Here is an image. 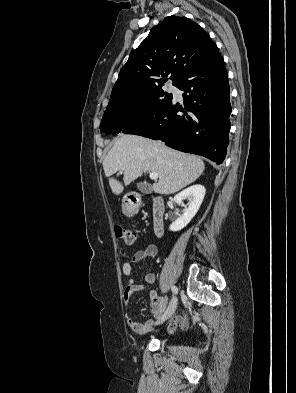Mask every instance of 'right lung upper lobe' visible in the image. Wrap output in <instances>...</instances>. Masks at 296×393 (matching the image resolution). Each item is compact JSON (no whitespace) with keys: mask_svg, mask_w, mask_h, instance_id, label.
Segmentation results:
<instances>
[{"mask_svg":"<svg viewBox=\"0 0 296 393\" xmlns=\"http://www.w3.org/2000/svg\"><path fill=\"white\" fill-rule=\"evenodd\" d=\"M211 46L215 43L197 23L175 15L165 18L130 53L110 101L128 99L164 84L168 76L176 84Z\"/></svg>","mask_w":296,"mask_h":393,"instance_id":"right-lung-upper-lobe-1","label":"right lung upper lobe"}]
</instances>
